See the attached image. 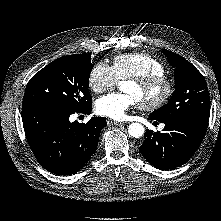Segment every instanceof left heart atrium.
<instances>
[{"mask_svg":"<svg viewBox=\"0 0 221 221\" xmlns=\"http://www.w3.org/2000/svg\"><path fill=\"white\" fill-rule=\"evenodd\" d=\"M136 102V99L129 94L111 93L97 100L96 111L99 115L114 120H123Z\"/></svg>","mask_w":221,"mask_h":221,"instance_id":"left-heart-atrium-1","label":"left heart atrium"}]
</instances>
